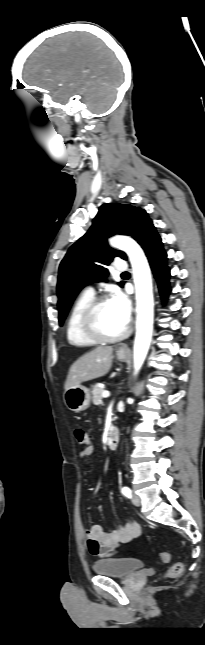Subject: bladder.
<instances>
[{"label": "bladder", "instance_id": "31cf9c89", "mask_svg": "<svg viewBox=\"0 0 205 645\" xmlns=\"http://www.w3.org/2000/svg\"><path fill=\"white\" fill-rule=\"evenodd\" d=\"M144 563L142 560L131 557H113L98 560L93 565L96 574L129 577L142 570Z\"/></svg>", "mask_w": 205, "mask_h": 645}]
</instances>
